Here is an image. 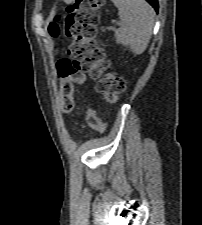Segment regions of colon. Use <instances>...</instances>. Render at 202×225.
I'll return each mask as SVG.
<instances>
[{"instance_id":"1","label":"colon","mask_w":202,"mask_h":225,"mask_svg":"<svg viewBox=\"0 0 202 225\" xmlns=\"http://www.w3.org/2000/svg\"><path fill=\"white\" fill-rule=\"evenodd\" d=\"M103 0H75L69 8L65 23V36L72 40L69 58L57 66L60 86V107L65 113L74 107L73 84L83 85L85 75L98 78L97 88L107 102L116 103L124 92L125 83L111 70V61L105 50L95 41L97 34L98 12ZM51 36L59 34V25L49 26ZM88 126L103 131L105 125L93 108L84 111Z\"/></svg>"}]
</instances>
